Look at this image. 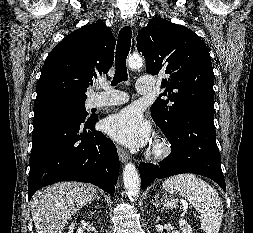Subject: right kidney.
Wrapping results in <instances>:
<instances>
[{
    "mask_svg": "<svg viewBox=\"0 0 253 233\" xmlns=\"http://www.w3.org/2000/svg\"><path fill=\"white\" fill-rule=\"evenodd\" d=\"M74 227H75V224L72 223L71 226H70V228H69L68 233H73Z\"/></svg>",
    "mask_w": 253,
    "mask_h": 233,
    "instance_id": "ca27d5eb",
    "label": "right kidney"
}]
</instances>
